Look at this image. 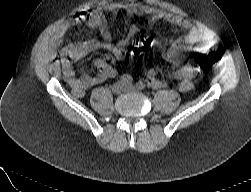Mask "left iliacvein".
I'll return each mask as SVG.
<instances>
[{"label":"left iliac vein","mask_w":251,"mask_h":192,"mask_svg":"<svg viewBox=\"0 0 251 192\" xmlns=\"http://www.w3.org/2000/svg\"><path fill=\"white\" fill-rule=\"evenodd\" d=\"M124 90L126 91H135L138 90V88L132 84H124Z\"/></svg>","instance_id":"1"}]
</instances>
